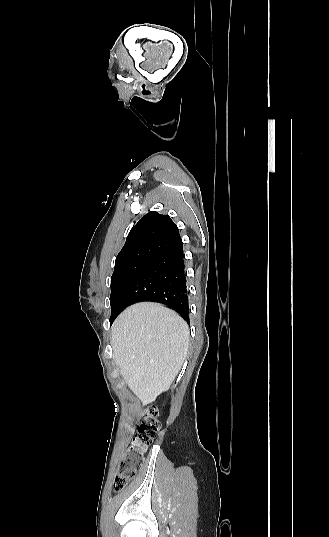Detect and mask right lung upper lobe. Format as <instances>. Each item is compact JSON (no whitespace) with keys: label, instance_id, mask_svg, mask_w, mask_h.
<instances>
[{"label":"right lung upper lobe","instance_id":"obj_1","mask_svg":"<svg viewBox=\"0 0 329 537\" xmlns=\"http://www.w3.org/2000/svg\"><path fill=\"white\" fill-rule=\"evenodd\" d=\"M180 242L179 230L169 216L149 212L128 234L116 257L115 269L134 261L151 262Z\"/></svg>","mask_w":329,"mask_h":537}]
</instances>
